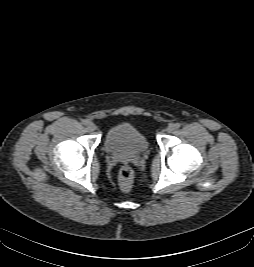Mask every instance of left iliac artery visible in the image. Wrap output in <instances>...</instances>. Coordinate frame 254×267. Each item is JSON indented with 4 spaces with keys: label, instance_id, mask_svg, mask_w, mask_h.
I'll use <instances>...</instances> for the list:
<instances>
[{
    "label": "left iliac artery",
    "instance_id": "left-iliac-artery-1",
    "mask_svg": "<svg viewBox=\"0 0 254 267\" xmlns=\"http://www.w3.org/2000/svg\"><path fill=\"white\" fill-rule=\"evenodd\" d=\"M175 126H176V128H180L181 124L180 123H176Z\"/></svg>",
    "mask_w": 254,
    "mask_h": 267
}]
</instances>
